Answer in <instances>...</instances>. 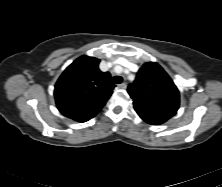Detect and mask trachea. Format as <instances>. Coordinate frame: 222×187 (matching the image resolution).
<instances>
[{
    "label": "trachea",
    "instance_id": "obj_1",
    "mask_svg": "<svg viewBox=\"0 0 222 187\" xmlns=\"http://www.w3.org/2000/svg\"><path fill=\"white\" fill-rule=\"evenodd\" d=\"M122 81H123V78H122L121 76H115V77H113V82H114L115 84H120V83H122Z\"/></svg>",
    "mask_w": 222,
    "mask_h": 187
}]
</instances>
